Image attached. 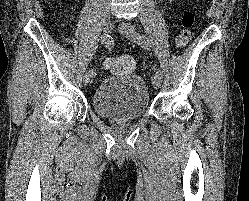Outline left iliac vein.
Returning a JSON list of instances; mask_svg holds the SVG:
<instances>
[{"mask_svg":"<svg viewBox=\"0 0 249 201\" xmlns=\"http://www.w3.org/2000/svg\"><path fill=\"white\" fill-rule=\"evenodd\" d=\"M120 31L122 34L132 41H136V30L129 22H122L120 25ZM153 86L157 89L161 85V76L154 74L151 78Z\"/></svg>","mask_w":249,"mask_h":201,"instance_id":"left-iliac-vein-1","label":"left iliac vein"}]
</instances>
